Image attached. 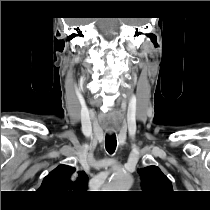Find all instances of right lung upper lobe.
<instances>
[{"label":"right lung upper lobe","mask_w":210,"mask_h":210,"mask_svg":"<svg viewBox=\"0 0 210 210\" xmlns=\"http://www.w3.org/2000/svg\"><path fill=\"white\" fill-rule=\"evenodd\" d=\"M75 168L59 165L43 180L39 191L57 201H68L87 189L88 176L80 172L75 180L71 179Z\"/></svg>","instance_id":"cb5924a9"}]
</instances>
